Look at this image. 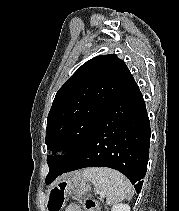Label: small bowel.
Returning a JSON list of instances; mask_svg holds the SVG:
<instances>
[{"mask_svg":"<svg viewBox=\"0 0 179 211\" xmlns=\"http://www.w3.org/2000/svg\"><path fill=\"white\" fill-rule=\"evenodd\" d=\"M79 197H83V194H80ZM64 211H83L82 208L76 203H70L66 206Z\"/></svg>","mask_w":179,"mask_h":211,"instance_id":"1","label":"small bowel"}]
</instances>
